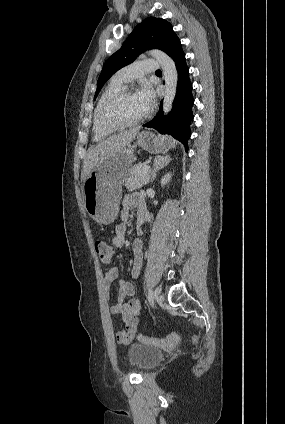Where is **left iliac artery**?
Returning a JSON list of instances; mask_svg holds the SVG:
<instances>
[{
  "label": "left iliac artery",
  "mask_w": 285,
  "mask_h": 424,
  "mask_svg": "<svg viewBox=\"0 0 285 424\" xmlns=\"http://www.w3.org/2000/svg\"><path fill=\"white\" fill-rule=\"evenodd\" d=\"M148 300L150 302L151 305H153V292L151 289H149L148 291Z\"/></svg>",
  "instance_id": "obj_1"
}]
</instances>
